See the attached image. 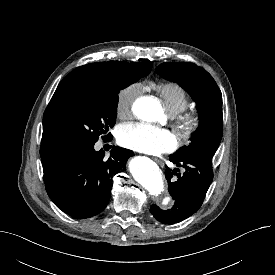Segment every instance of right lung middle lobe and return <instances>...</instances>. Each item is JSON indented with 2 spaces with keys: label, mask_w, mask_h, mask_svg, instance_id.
<instances>
[{
  "label": "right lung middle lobe",
  "mask_w": 275,
  "mask_h": 275,
  "mask_svg": "<svg viewBox=\"0 0 275 275\" xmlns=\"http://www.w3.org/2000/svg\"><path fill=\"white\" fill-rule=\"evenodd\" d=\"M148 73L128 70L123 81L56 90L43 116V130L64 149L94 145L99 137L111 138L118 93Z\"/></svg>",
  "instance_id": "obj_1"
}]
</instances>
